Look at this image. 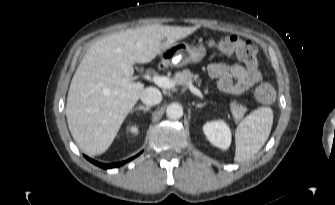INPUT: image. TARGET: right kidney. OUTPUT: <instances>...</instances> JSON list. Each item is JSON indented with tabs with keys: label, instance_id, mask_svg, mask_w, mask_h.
I'll use <instances>...</instances> for the list:
<instances>
[{
	"label": "right kidney",
	"instance_id": "right-kidney-1",
	"mask_svg": "<svg viewBox=\"0 0 335 205\" xmlns=\"http://www.w3.org/2000/svg\"><path fill=\"white\" fill-rule=\"evenodd\" d=\"M127 131L132 133V134H137L138 133V127L135 126V125L130 126V127H128Z\"/></svg>",
	"mask_w": 335,
	"mask_h": 205
}]
</instances>
